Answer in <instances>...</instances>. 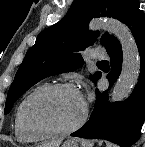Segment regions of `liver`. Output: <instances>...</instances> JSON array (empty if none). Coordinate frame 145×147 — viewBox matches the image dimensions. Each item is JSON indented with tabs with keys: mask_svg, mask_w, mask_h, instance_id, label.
<instances>
[{
	"mask_svg": "<svg viewBox=\"0 0 145 147\" xmlns=\"http://www.w3.org/2000/svg\"><path fill=\"white\" fill-rule=\"evenodd\" d=\"M60 143H61V140H56L53 142L43 143L39 147H59Z\"/></svg>",
	"mask_w": 145,
	"mask_h": 147,
	"instance_id": "6515ba94",
	"label": "liver"
}]
</instances>
